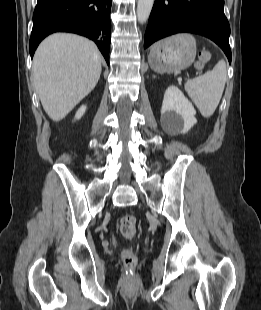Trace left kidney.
I'll return each instance as SVG.
<instances>
[{
  "label": "left kidney",
  "mask_w": 261,
  "mask_h": 310,
  "mask_svg": "<svg viewBox=\"0 0 261 310\" xmlns=\"http://www.w3.org/2000/svg\"><path fill=\"white\" fill-rule=\"evenodd\" d=\"M196 111L192 103L175 85H170L164 94L161 107V124L169 132H188L196 123Z\"/></svg>",
  "instance_id": "1"
}]
</instances>
